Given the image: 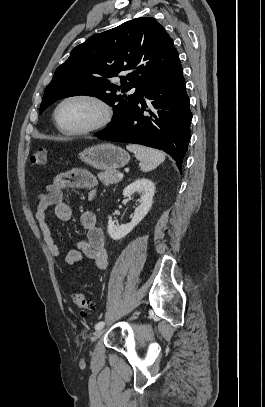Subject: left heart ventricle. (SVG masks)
I'll use <instances>...</instances> for the list:
<instances>
[{
	"instance_id": "left-heart-ventricle-1",
	"label": "left heart ventricle",
	"mask_w": 265,
	"mask_h": 407,
	"mask_svg": "<svg viewBox=\"0 0 265 407\" xmlns=\"http://www.w3.org/2000/svg\"><path fill=\"white\" fill-rule=\"evenodd\" d=\"M100 110L94 104L83 101L73 100L62 106L59 111V121L66 128H83L99 120Z\"/></svg>"
}]
</instances>
